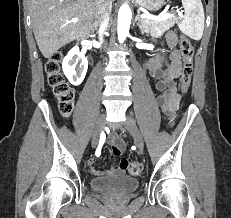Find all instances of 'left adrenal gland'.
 <instances>
[{
    "label": "left adrenal gland",
    "instance_id": "1",
    "mask_svg": "<svg viewBox=\"0 0 231 218\" xmlns=\"http://www.w3.org/2000/svg\"><path fill=\"white\" fill-rule=\"evenodd\" d=\"M139 15H140V11H137V16L135 18V23H137V26L139 27V29L141 30V34H144V31L142 29V26L140 24V19H139Z\"/></svg>",
    "mask_w": 231,
    "mask_h": 218
}]
</instances>
